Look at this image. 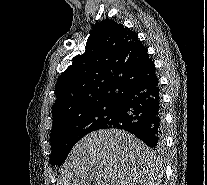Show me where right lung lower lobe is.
I'll return each instance as SVG.
<instances>
[{
    "label": "right lung lower lobe",
    "mask_w": 207,
    "mask_h": 185,
    "mask_svg": "<svg viewBox=\"0 0 207 185\" xmlns=\"http://www.w3.org/2000/svg\"><path fill=\"white\" fill-rule=\"evenodd\" d=\"M117 120L105 128L128 131L156 150L163 145L164 117L156 74L131 84L119 97Z\"/></svg>",
    "instance_id": "obj_1"
}]
</instances>
